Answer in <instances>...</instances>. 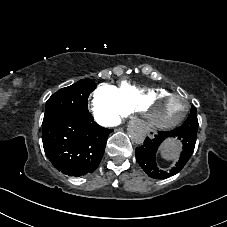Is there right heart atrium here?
I'll list each match as a JSON object with an SVG mask.
<instances>
[{
  "label": "right heart atrium",
  "instance_id": "obj_1",
  "mask_svg": "<svg viewBox=\"0 0 227 227\" xmlns=\"http://www.w3.org/2000/svg\"><path fill=\"white\" fill-rule=\"evenodd\" d=\"M92 113L95 120L104 127H116L128 115L117 88L108 83H101L94 91Z\"/></svg>",
  "mask_w": 227,
  "mask_h": 227
}]
</instances>
